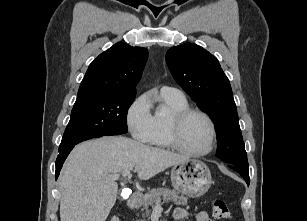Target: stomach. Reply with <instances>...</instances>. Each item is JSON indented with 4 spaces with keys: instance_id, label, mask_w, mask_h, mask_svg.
<instances>
[{
    "instance_id": "1",
    "label": "stomach",
    "mask_w": 307,
    "mask_h": 221,
    "mask_svg": "<svg viewBox=\"0 0 307 221\" xmlns=\"http://www.w3.org/2000/svg\"><path fill=\"white\" fill-rule=\"evenodd\" d=\"M171 182L176 190L196 198L205 194L212 184L208 166L195 159L176 164L171 170Z\"/></svg>"
}]
</instances>
